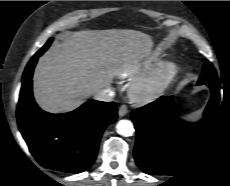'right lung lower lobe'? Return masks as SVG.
Segmentation results:
<instances>
[{
    "label": "right lung lower lobe",
    "mask_w": 230,
    "mask_h": 186,
    "mask_svg": "<svg viewBox=\"0 0 230 186\" xmlns=\"http://www.w3.org/2000/svg\"><path fill=\"white\" fill-rule=\"evenodd\" d=\"M38 57H32L23 73L17 106L19 130L43 167L66 173L83 172L95 160L104 129L117 118L116 104L91 100L65 114L41 110L32 94V75Z\"/></svg>",
    "instance_id": "98d812e1"
}]
</instances>
